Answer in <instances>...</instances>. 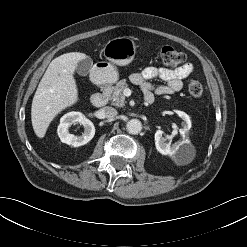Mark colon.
Instances as JSON below:
<instances>
[{"label": "colon", "mask_w": 247, "mask_h": 247, "mask_svg": "<svg viewBox=\"0 0 247 247\" xmlns=\"http://www.w3.org/2000/svg\"><path fill=\"white\" fill-rule=\"evenodd\" d=\"M160 61L166 66H177L185 61V55L172 46H162L159 51ZM188 92L194 98H199L203 94V86L197 80H191L188 84Z\"/></svg>", "instance_id": "obj_1"}]
</instances>
